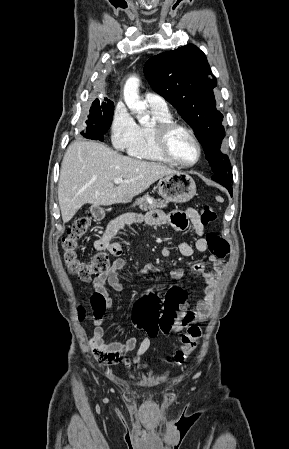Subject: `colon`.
<instances>
[{"instance_id": "colon-1", "label": "colon", "mask_w": 289, "mask_h": 449, "mask_svg": "<svg viewBox=\"0 0 289 449\" xmlns=\"http://www.w3.org/2000/svg\"><path fill=\"white\" fill-rule=\"evenodd\" d=\"M201 221L207 225L215 221L216 213L210 205H202ZM91 222V214H85L76 218L70 225L66 236L61 241L64 263L68 272L80 280L88 281L93 276H98L106 271L110 265V254L104 250L96 252L89 260L83 261L78 257L77 248L79 240L84 236ZM211 256L218 259L225 258L230 252V245L220 235L209 232L206 235ZM186 297L185 291L180 288H172L167 292L164 306L156 295L148 298L141 297L133 311V322L137 328L143 330L149 337L158 334L168 335L174 329L178 319L179 308ZM90 303L96 317L105 310V299L98 293L90 298ZM85 310L79 308V316L83 317ZM202 336V329L198 325H189L187 331L181 336L182 346L175 351L173 359L181 364L195 350L198 340Z\"/></svg>"}]
</instances>
